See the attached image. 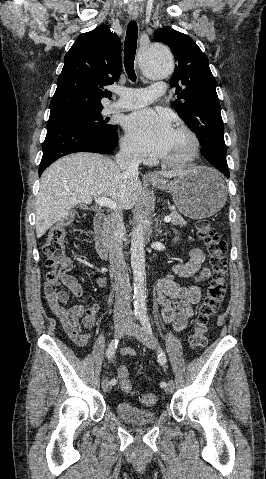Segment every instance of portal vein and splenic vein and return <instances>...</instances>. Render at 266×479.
Returning <instances> with one entry per match:
<instances>
[{"label":"portal vein and splenic vein","instance_id":"1","mask_svg":"<svg viewBox=\"0 0 266 479\" xmlns=\"http://www.w3.org/2000/svg\"><path fill=\"white\" fill-rule=\"evenodd\" d=\"M95 203L99 206H104V207H108V208H111V209H117L118 208L116 203H114L111 199L106 198V197L95 198ZM169 221H171V217L166 216L164 218V222H169Z\"/></svg>","mask_w":266,"mask_h":479}]
</instances>
